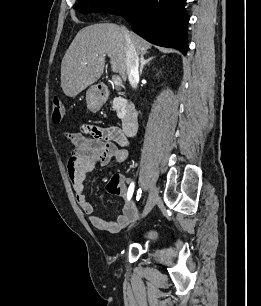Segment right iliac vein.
Here are the masks:
<instances>
[{"label":"right iliac vein","mask_w":261,"mask_h":306,"mask_svg":"<svg viewBox=\"0 0 261 306\" xmlns=\"http://www.w3.org/2000/svg\"><path fill=\"white\" fill-rule=\"evenodd\" d=\"M157 198H158L157 188H156V186L152 185L150 187L149 197H148L146 206H145V208L143 210V213H142L143 217L146 216L152 210V208L155 205V202H156Z\"/></svg>","instance_id":"right-iliac-vein-1"}]
</instances>
